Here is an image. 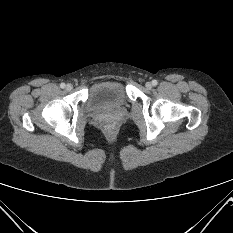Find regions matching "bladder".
Listing matches in <instances>:
<instances>
[{"label":"bladder","instance_id":"1","mask_svg":"<svg viewBox=\"0 0 233 233\" xmlns=\"http://www.w3.org/2000/svg\"><path fill=\"white\" fill-rule=\"evenodd\" d=\"M128 101L123 84L116 80H104L93 84L87 96L88 109L95 112L125 108Z\"/></svg>","mask_w":233,"mask_h":233}]
</instances>
